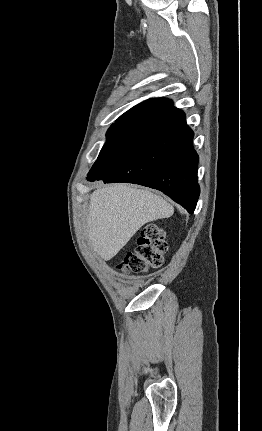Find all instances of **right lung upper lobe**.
<instances>
[{
    "label": "right lung upper lobe",
    "instance_id": "right-lung-upper-lobe-1",
    "mask_svg": "<svg viewBox=\"0 0 262 431\" xmlns=\"http://www.w3.org/2000/svg\"><path fill=\"white\" fill-rule=\"evenodd\" d=\"M173 102L164 98L146 100L120 116L112 125L132 126L150 116L172 108Z\"/></svg>",
    "mask_w": 262,
    "mask_h": 431
}]
</instances>
